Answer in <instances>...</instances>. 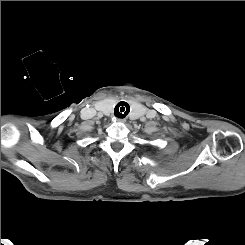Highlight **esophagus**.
<instances>
[{
	"mask_svg": "<svg viewBox=\"0 0 245 245\" xmlns=\"http://www.w3.org/2000/svg\"><path fill=\"white\" fill-rule=\"evenodd\" d=\"M117 120L120 121V122H124L125 121L124 119H120V118H118Z\"/></svg>",
	"mask_w": 245,
	"mask_h": 245,
	"instance_id": "34e87169",
	"label": "esophagus"
}]
</instances>
